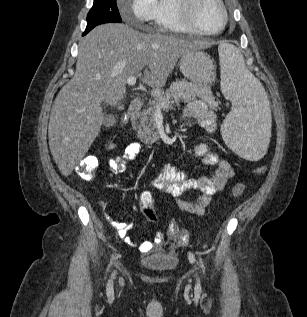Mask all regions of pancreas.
I'll list each match as a JSON object with an SVG mask.
<instances>
[{"label": "pancreas", "instance_id": "1", "mask_svg": "<svg viewBox=\"0 0 307 317\" xmlns=\"http://www.w3.org/2000/svg\"><path fill=\"white\" fill-rule=\"evenodd\" d=\"M207 93L208 90L203 85L191 83L184 79L173 82L165 92L162 89L155 90L156 99L153 106L145 107L142 112L132 118L133 129L137 131L140 141L152 144L159 139L154 120L155 105L171 100V103L178 106L180 102L187 103L196 99V97L206 98ZM169 109H172V107L166 108V110Z\"/></svg>", "mask_w": 307, "mask_h": 317}]
</instances>
